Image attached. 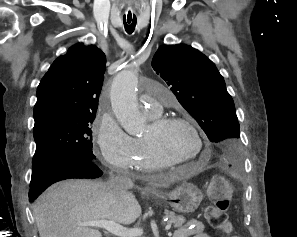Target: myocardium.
I'll list each match as a JSON object with an SVG mask.
<instances>
[{
    "mask_svg": "<svg viewBox=\"0 0 297 237\" xmlns=\"http://www.w3.org/2000/svg\"><path fill=\"white\" fill-rule=\"evenodd\" d=\"M171 124H183L187 126L190 131L195 136L198 142V151L195 156L188 159H172L168 157L163 150L159 147V145L151 138V137H143V142L145 143L150 155L152 158L160 165V166H181L188 163H192L197 161L204 149V141L198 132L197 128L194 124L186 118L180 116H158L154 117L151 121V128L155 131L165 127L166 125Z\"/></svg>",
    "mask_w": 297,
    "mask_h": 237,
    "instance_id": "1",
    "label": "myocardium"
}]
</instances>
